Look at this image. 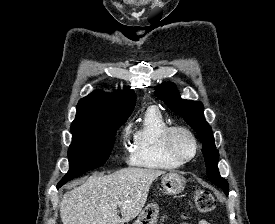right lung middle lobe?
I'll use <instances>...</instances> for the list:
<instances>
[{
    "instance_id": "1",
    "label": "right lung middle lobe",
    "mask_w": 275,
    "mask_h": 224,
    "mask_svg": "<svg viewBox=\"0 0 275 224\" xmlns=\"http://www.w3.org/2000/svg\"><path fill=\"white\" fill-rule=\"evenodd\" d=\"M125 121L71 127L72 143L68 150L70 168L58 185L62 186L69 180L101 166L113 149L116 130Z\"/></svg>"
}]
</instances>
